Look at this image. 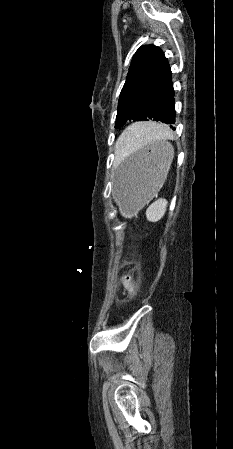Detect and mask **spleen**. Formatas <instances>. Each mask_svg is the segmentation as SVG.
Returning <instances> with one entry per match:
<instances>
[{
  "label": "spleen",
  "mask_w": 233,
  "mask_h": 449,
  "mask_svg": "<svg viewBox=\"0 0 233 449\" xmlns=\"http://www.w3.org/2000/svg\"><path fill=\"white\" fill-rule=\"evenodd\" d=\"M167 132V125H138L133 124L121 135L119 139L118 154L132 151L135 147H140L149 142H162L164 133ZM168 202L165 199H158L146 210V217L150 222L159 221L165 214Z\"/></svg>",
  "instance_id": "spleen-1"
}]
</instances>
